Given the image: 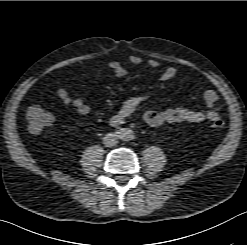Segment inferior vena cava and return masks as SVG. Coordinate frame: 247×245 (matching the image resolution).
I'll return each instance as SVG.
<instances>
[{
  "label": "inferior vena cava",
  "mask_w": 247,
  "mask_h": 245,
  "mask_svg": "<svg viewBox=\"0 0 247 245\" xmlns=\"http://www.w3.org/2000/svg\"><path fill=\"white\" fill-rule=\"evenodd\" d=\"M103 142L106 147H112L118 143V136L114 133H107Z\"/></svg>",
  "instance_id": "obj_1"
}]
</instances>
